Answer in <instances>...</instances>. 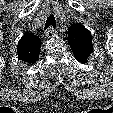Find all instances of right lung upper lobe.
Returning <instances> with one entry per match:
<instances>
[{"label":"right lung upper lobe","instance_id":"cb5924a9","mask_svg":"<svg viewBox=\"0 0 113 113\" xmlns=\"http://www.w3.org/2000/svg\"><path fill=\"white\" fill-rule=\"evenodd\" d=\"M41 40L38 36L29 32L25 33L18 42V58L28 64L37 61L40 54Z\"/></svg>","mask_w":113,"mask_h":113}]
</instances>
